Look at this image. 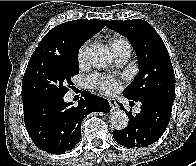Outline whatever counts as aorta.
Listing matches in <instances>:
<instances>
[{"instance_id":"762f6f07","label":"aorta","mask_w":196,"mask_h":166,"mask_svg":"<svg viewBox=\"0 0 196 166\" xmlns=\"http://www.w3.org/2000/svg\"><path fill=\"white\" fill-rule=\"evenodd\" d=\"M89 60L96 68H105L112 63L113 55L109 48L105 46H96L89 52ZM128 116L125 111L117 109L111 112V125L117 129L122 130L128 125Z\"/></svg>"}]
</instances>
